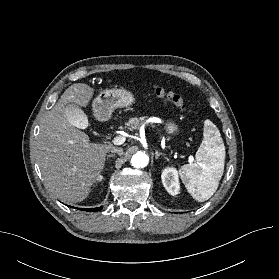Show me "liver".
I'll return each mask as SVG.
<instances>
[{"label":"liver","instance_id":"1","mask_svg":"<svg viewBox=\"0 0 279 279\" xmlns=\"http://www.w3.org/2000/svg\"><path fill=\"white\" fill-rule=\"evenodd\" d=\"M93 94L94 89L85 83L69 86L44 118L37 136L36 157L44 184L63 201L77 203L88 197L113 148L90 142L67 118V105L86 107Z\"/></svg>","mask_w":279,"mask_h":279}]
</instances>
